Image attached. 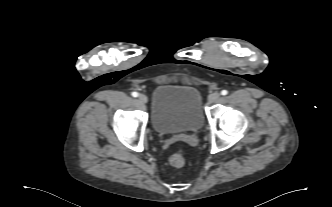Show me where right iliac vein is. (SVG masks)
I'll list each match as a JSON object with an SVG mask.
<instances>
[{
  "label": "right iliac vein",
  "instance_id": "obj_1",
  "mask_svg": "<svg viewBox=\"0 0 332 207\" xmlns=\"http://www.w3.org/2000/svg\"><path fill=\"white\" fill-rule=\"evenodd\" d=\"M138 100H139L140 103H142V104H145V103H147V101H148L147 96L144 95V94H140L139 97H138Z\"/></svg>",
  "mask_w": 332,
  "mask_h": 207
}]
</instances>
